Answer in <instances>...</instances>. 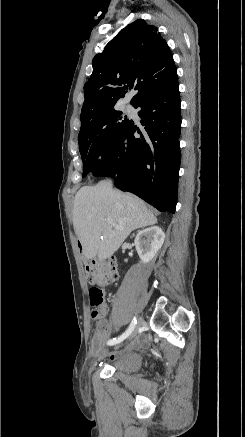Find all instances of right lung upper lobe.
Segmentation results:
<instances>
[{
    "mask_svg": "<svg viewBox=\"0 0 245 437\" xmlns=\"http://www.w3.org/2000/svg\"><path fill=\"white\" fill-rule=\"evenodd\" d=\"M84 85L81 125L94 119L134 88L131 100L166 92L178 85L177 69L167 42L155 26L138 19L123 28L92 61Z\"/></svg>",
    "mask_w": 245,
    "mask_h": 437,
    "instance_id": "right-lung-upper-lobe-1",
    "label": "right lung upper lobe"
}]
</instances>
